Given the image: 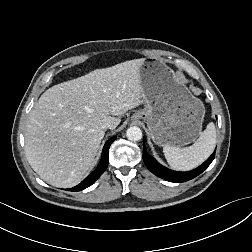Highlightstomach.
Returning a JSON list of instances; mask_svg holds the SVG:
<instances>
[{
  "label": "stomach",
  "mask_w": 252,
  "mask_h": 252,
  "mask_svg": "<svg viewBox=\"0 0 252 252\" xmlns=\"http://www.w3.org/2000/svg\"><path fill=\"white\" fill-rule=\"evenodd\" d=\"M144 109L132 120L145 119L153 141L159 146H183L201 134L205 107L179 81L164 61L144 59L139 68Z\"/></svg>",
  "instance_id": "obj_1"
}]
</instances>
